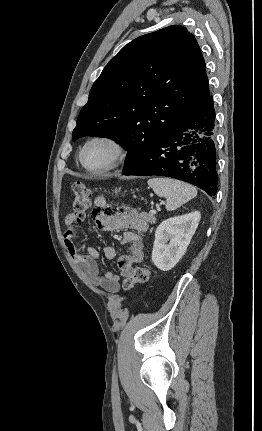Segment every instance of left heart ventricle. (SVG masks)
Returning a JSON list of instances; mask_svg holds the SVG:
<instances>
[{
    "label": "left heart ventricle",
    "mask_w": 262,
    "mask_h": 431,
    "mask_svg": "<svg viewBox=\"0 0 262 431\" xmlns=\"http://www.w3.org/2000/svg\"><path fill=\"white\" fill-rule=\"evenodd\" d=\"M113 150L107 143H94L84 154V163L91 169H99L108 165L112 159Z\"/></svg>",
    "instance_id": "left-heart-ventricle-1"
}]
</instances>
